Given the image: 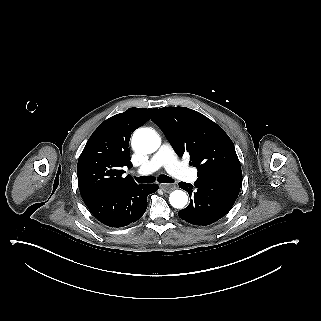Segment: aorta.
<instances>
[{
    "label": "aorta",
    "mask_w": 321,
    "mask_h": 321,
    "mask_svg": "<svg viewBox=\"0 0 321 321\" xmlns=\"http://www.w3.org/2000/svg\"><path fill=\"white\" fill-rule=\"evenodd\" d=\"M135 151L142 154H150L155 152L161 145L160 136L152 129H137L131 141ZM170 204L177 209H182L188 202V196L182 190H175L169 196Z\"/></svg>",
    "instance_id": "obj_1"
}]
</instances>
